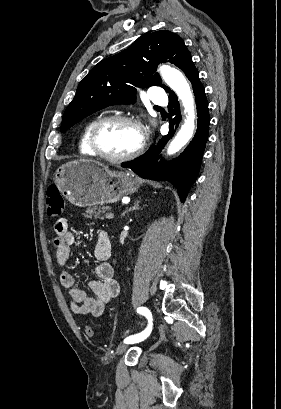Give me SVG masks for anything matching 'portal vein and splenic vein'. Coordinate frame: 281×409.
Wrapping results in <instances>:
<instances>
[{
  "label": "portal vein and splenic vein",
  "mask_w": 281,
  "mask_h": 409,
  "mask_svg": "<svg viewBox=\"0 0 281 409\" xmlns=\"http://www.w3.org/2000/svg\"><path fill=\"white\" fill-rule=\"evenodd\" d=\"M104 216H106V219H113V213L112 212H106V213H104Z\"/></svg>",
  "instance_id": "portal-vein-and-splenic-vein-1"
}]
</instances>
